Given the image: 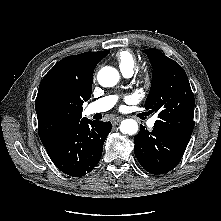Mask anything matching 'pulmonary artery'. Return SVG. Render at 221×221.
<instances>
[{"mask_svg": "<svg viewBox=\"0 0 221 221\" xmlns=\"http://www.w3.org/2000/svg\"><path fill=\"white\" fill-rule=\"evenodd\" d=\"M132 74L133 73H126V74H124V76L131 77ZM116 100H117V98L113 95L105 96V97L98 99L95 102L91 103L87 108V112L89 114L105 112L114 106V104L116 103ZM155 122H156V117L151 118L148 121V126L153 127Z\"/></svg>", "mask_w": 221, "mask_h": 221, "instance_id": "e3ab8cb5", "label": "pulmonary artery"}]
</instances>
